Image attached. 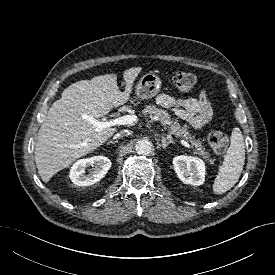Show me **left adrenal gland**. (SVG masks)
Listing matches in <instances>:
<instances>
[{"instance_id": "left-adrenal-gland-1", "label": "left adrenal gland", "mask_w": 275, "mask_h": 275, "mask_svg": "<svg viewBox=\"0 0 275 275\" xmlns=\"http://www.w3.org/2000/svg\"><path fill=\"white\" fill-rule=\"evenodd\" d=\"M162 147L163 149H165L166 147L169 146V144H172L174 143V141H171V140H166V138L164 136H162Z\"/></svg>"}]
</instances>
